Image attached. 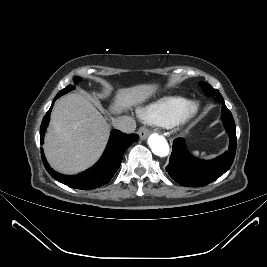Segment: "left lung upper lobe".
<instances>
[{
	"label": "left lung upper lobe",
	"instance_id": "obj_1",
	"mask_svg": "<svg viewBox=\"0 0 267 267\" xmlns=\"http://www.w3.org/2000/svg\"><path fill=\"white\" fill-rule=\"evenodd\" d=\"M199 85L201 86V88L205 91V88H210V95L209 94H206L207 96H213L215 97V99L221 103L224 104V100H223V97L221 96V94L218 92V90L212 88V86H210L209 84L207 83H204V82H200Z\"/></svg>",
	"mask_w": 267,
	"mask_h": 267
}]
</instances>
